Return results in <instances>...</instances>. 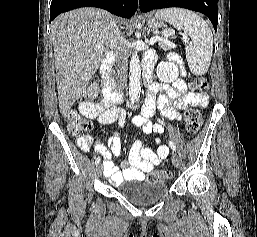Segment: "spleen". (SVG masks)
I'll return each mask as SVG.
<instances>
[{
    "label": "spleen",
    "instance_id": "1",
    "mask_svg": "<svg viewBox=\"0 0 257 237\" xmlns=\"http://www.w3.org/2000/svg\"><path fill=\"white\" fill-rule=\"evenodd\" d=\"M155 17L183 30L184 35L191 39V44L186 46L189 68L195 75L205 74L209 69L213 51V35L206 21L192 11L179 8L157 11ZM162 34L164 37L173 38L175 32L166 29Z\"/></svg>",
    "mask_w": 257,
    "mask_h": 237
}]
</instances>
